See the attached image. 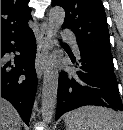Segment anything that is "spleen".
Returning <instances> with one entry per match:
<instances>
[{
    "label": "spleen",
    "mask_w": 123,
    "mask_h": 130,
    "mask_svg": "<svg viewBox=\"0 0 123 130\" xmlns=\"http://www.w3.org/2000/svg\"><path fill=\"white\" fill-rule=\"evenodd\" d=\"M64 117L66 130H122L117 114L103 107H80Z\"/></svg>",
    "instance_id": "spleen-1"
}]
</instances>
